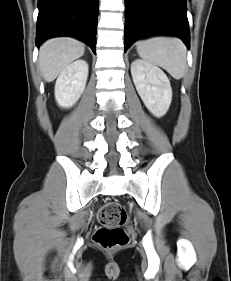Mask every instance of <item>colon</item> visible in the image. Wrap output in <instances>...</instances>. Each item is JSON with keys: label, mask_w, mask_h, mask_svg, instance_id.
Here are the masks:
<instances>
[{"label": "colon", "mask_w": 231, "mask_h": 281, "mask_svg": "<svg viewBox=\"0 0 231 281\" xmlns=\"http://www.w3.org/2000/svg\"><path fill=\"white\" fill-rule=\"evenodd\" d=\"M127 219L125 207L118 202H109L99 210L101 227L95 232L93 239L104 249L113 250L128 243V235L122 228Z\"/></svg>", "instance_id": "colon-1"}]
</instances>
